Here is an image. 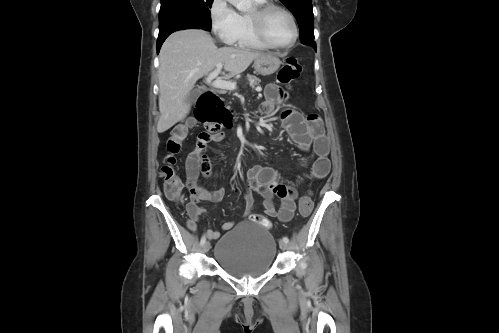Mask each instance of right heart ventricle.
Here are the masks:
<instances>
[{"mask_svg": "<svg viewBox=\"0 0 499 333\" xmlns=\"http://www.w3.org/2000/svg\"><path fill=\"white\" fill-rule=\"evenodd\" d=\"M258 5L266 3V0H255ZM239 29L232 44L241 48L254 50H267L269 47L265 45L256 36L253 31L249 16L247 14H239Z\"/></svg>", "mask_w": 499, "mask_h": 333, "instance_id": "e07e8e85", "label": "right heart ventricle"}]
</instances>
